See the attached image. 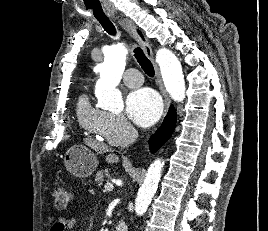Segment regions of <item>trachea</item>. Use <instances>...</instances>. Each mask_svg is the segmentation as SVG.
<instances>
[{
	"instance_id": "1",
	"label": "trachea",
	"mask_w": 268,
	"mask_h": 231,
	"mask_svg": "<svg viewBox=\"0 0 268 231\" xmlns=\"http://www.w3.org/2000/svg\"><path fill=\"white\" fill-rule=\"evenodd\" d=\"M99 23L102 25L104 30L110 34V35H116V29L113 23L109 19H98ZM134 56L141 65V68L144 70V72L150 76H154V67L151 63V61L144 55L141 48L136 47L134 49Z\"/></svg>"
}]
</instances>
